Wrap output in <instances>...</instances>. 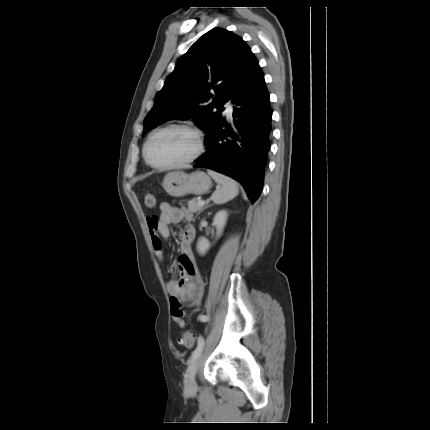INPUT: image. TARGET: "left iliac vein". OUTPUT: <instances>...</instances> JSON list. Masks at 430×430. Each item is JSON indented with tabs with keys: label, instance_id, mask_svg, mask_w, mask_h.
Listing matches in <instances>:
<instances>
[{
	"label": "left iliac vein",
	"instance_id": "left-iliac-vein-1",
	"mask_svg": "<svg viewBox=\"0 0 430 430\" xmlns=\"http://www.w3.org/2000/svg\"><path fill=\"white\" fill-rule=\"evenodd\" d=\"M201 362V352L190 362L185 374V388L189 391L196 390V373Z\"/></svg>",
	"mask_w": 430,
	"mask_h": 430
}]
</instances>
